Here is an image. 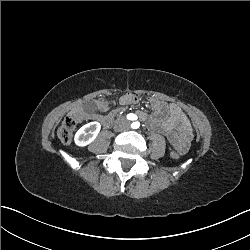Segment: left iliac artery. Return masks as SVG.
Segmentation results:
<instances>
[{
    "instance_id": "obj_1",
    "label": "left iliac artery",
    "mask_w": 250,
    "mask_h": 250,
    "mask_svg": "<svg viewBox=\"0 0 250 250\" xmlns=\"http://www.w3.org/2000/svg\"><path fill=\"white\" fill-rule=\"evenodd\" d=\"M138 127H139V123L138 122L132 124V128L137 129Z\"/></svg>"
}]
</instances>
